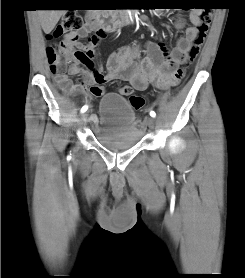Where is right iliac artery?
Listing matches in <instances>:
<instances>
[{
  "instance_id": "1",
  "label": "right iliac artery",
  "mask_w": 245,
  "mask_h": 278,
  "mask_svg": "<svg viewBox=\"0 0 245 278\" xmlns=\"http://www.w3.org/2000/svg\"><path fill=\"white\" fill-rule=\"evenodd\" d=\"M87 109H88V106H87V105L83 106V107H82V109H81V113L86 112V111H87Z\"/></svg>"
}]
</instances>
